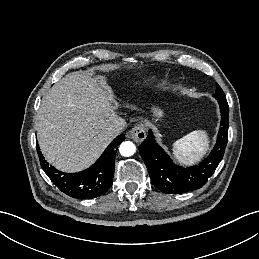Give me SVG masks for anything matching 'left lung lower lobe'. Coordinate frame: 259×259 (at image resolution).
I'll return each mask as SVG.
<instances>
[{"label": "left lung lower lobe", "instance_id": "1", "mask_svg": "<svg viewBox=\"0 0 259 259\" xmlns=\"http://www.w3.org/2000/svg\"><path fill=\"white\" fill-rule=\"evenodd\" d=\"M221 111V127L210 155L199 165L183 168L175 165L154 141L151 130L139 146V152L148 169L152 183L163 193L181 194L201 188L223 158L228 141L229 106L225 98L217 99Z\"/></svg>", "mask_w": 259, "mask_h": 259}]
</instances>
